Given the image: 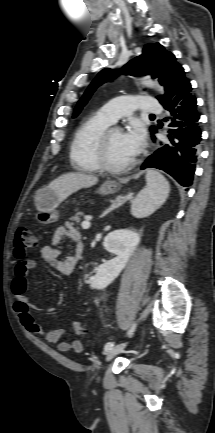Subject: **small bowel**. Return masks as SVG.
<instances>
[{
	"instance_id": "1",
	"label": "small bowel",
	"mask_w": 215,
	"mask_h": 433,
	"mask_svg": "<svg viewBox=\"0 0 215 433\" xmlns=\"http://www.w3.org/2000/svg\"><path fill=\"white\" fill-rule=\"evenodd\" d=\"M65 239H70L74 243V254L61 258L62 243ZM83 251V244L79 230L72 224L67 223L58 227L53 235L52 244L44 245L40 249L41 257L50 264L61 275H70L78 263ZM34 259H24L18 262L14 269V278L11 282V292L15 298V311L20 319L21 324L31 333L44 337L48 342L56 344L57 349L61 352L74 350L81 352L83 345L79 340L64 341L63 329H54L46 331L42 325L36 322L32 311L36 307L30 303L25 293L28 286V274L35 268Z\"/></svg>"
}]
</instances>
